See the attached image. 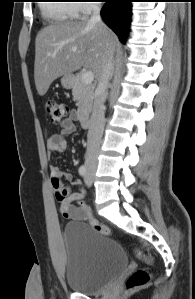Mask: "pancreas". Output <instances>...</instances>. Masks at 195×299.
I'll return each mask as SVG.
<instances>
[{
	"label": "pancreas",
	"instance_id": "1",
	"mask_svg": "<svg viewBox=\"0 0 195 299\" xmlns=\"http://www.w3.org/2000/svg\"><path fill=\"white\" fill-rule=\"evenodd\" d=\"M94 84L92 83H84L82 81V73H79L74 81V85L72 87V95L74 100H76L78 106V114L79 116L86 117L90 113L94 100Z\"/></svg>",
	"mask_w": 195,
	"mask_h": 299
}]
</instances>
